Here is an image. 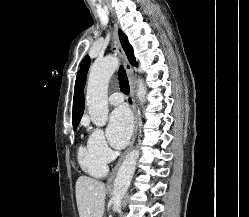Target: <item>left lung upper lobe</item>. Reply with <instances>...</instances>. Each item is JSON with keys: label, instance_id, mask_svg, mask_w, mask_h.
Masks as SVG:
<instances>
[{"label": "left lung upper lobe", "instance_id": "left-lung-upper-lobe-1", "mask_svg": "<svg viewBox=\"0 0 249 217\" xmlns=\"http://www.w3.org/2000/svg\"><path fill=\"white\" fill-rule=\"evenodd\" d=\"M119 35H120L121 44L126 52L128 60L130 61V63L132 65H135L136 61H135V57L133 56V49H132L131 45L128 43L126 35L125 34L122 35L121 30H119ZM89 65H90V58H89V56H85L81 62V70H80V74H81L84 82L86 80Z\"/></svg>", "mask_w": 249, "mask_h": 217}]
</instances>
